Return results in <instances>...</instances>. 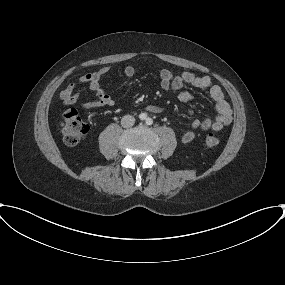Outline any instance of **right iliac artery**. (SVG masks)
<instances>
[{
	"mask_svg": "<svg viewBox=\"0 0 285 285\" xmlns=\"http://www.w3.org/2000/svg\"><path fill=\"white\" fill-rule=\"evenodd\" d=\"M146 114H144V113H142V114H140V116H139V118L141 119V120H145L146 119Z\"/></svg>",
	"mask_w": 285,
	"mask_h": 285,
	"instance_id": "82829eb1",
	"label": "right iliac artery"
}]
</instances>
